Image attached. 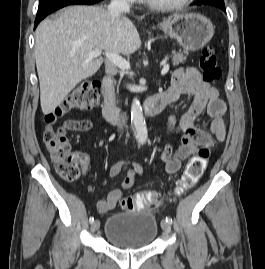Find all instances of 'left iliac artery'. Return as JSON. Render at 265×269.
Instances as JSON below:
<instances>
[{
  "label": "left iliac artery",
  "instance_id": "left-iliac-artery-1",
  "mask_svg": "<svg viewBox=\"0 0 265 269\" xmlns=\"http://www.w3.org/2000/svg\"><path fill=\"white\" fill-rule=\"evenodd\" d=\"M166 222H168L169 224H172V218L171 217H166Z\"/></svg>",
  "mask_w": 265,
  "mask_h": 269
}]
</instances>
